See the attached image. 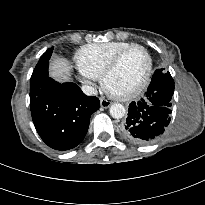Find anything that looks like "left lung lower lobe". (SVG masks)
<instances>
[{
	"label": "left lung lower lobe",
	"instance_id": "left-lung-lower-lobe-1",
	"mask_svg": "<svg viewBox=\"0 0 205 205\" xmlns=\"http://www.w3.org/2000/svg\"><path fill=\"white\" fill-rule=\"evenodd\" d=\"M163 92L156 89L153 96L131 102L128 117L121 132L129 141L146 145L162 136L170 122L171 102L166 104Z\"/></svg>",
	"mask_w": 205,
	"mask_h": 205
}]
</instances>
